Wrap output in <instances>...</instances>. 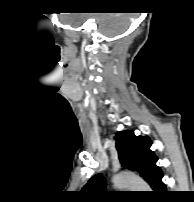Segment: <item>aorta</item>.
<instances>
[{
    "mask_svg": "<svg viewBox=\"0 0 194 202\" xmlns=\"http://www.w3.org/2000/svg\"><path fill=\"white\" fill-rule=\"evenodd\" d=\"M113 183L118 189L130 188L134 191H150L147 183L131 175L119 174L113 178Z\"/></svg>",
    "mask_w": 194,
    "mask_h": 202,
    "instance_id": "762f6f07",
    "label": "aorta"
}]
</instances>
